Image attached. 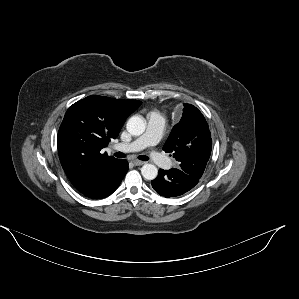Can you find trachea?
<instances>
[{
  "label": "trachea",
  "instance_id": "obj_1",
  "mask_svg": "<svg viewBox=\"0 0 299 299\" xmlns=\"http://www.w3.org/2000/svg\"><path fill=\"white\" fill-rule=\"evenodd\" d=\"M114 155H115L117 158H124V157H125V154L122 153V152H117V153H115ZM138 158H139L140 160H142V161H148V160H149V158H148L147 156H145V155H140V156H138Z\"/></svg>",
  "mask_w": 299,
  "mask_h": 299
}]
</instances>
